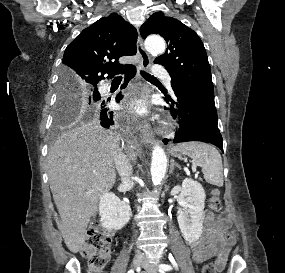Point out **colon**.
I'll return each instance as SVG.
<instances>
[{
	"instance_id": "colon-1",
	"label": "colon",
	"mask_w": 285,
	"mask_h": 273,
	"mask_svg": "<svg viewBox=\"0 0 285 273\" xmlns=\"http://www.w3.org/2000/svg\"><path fill=\"white\" fill-rule=\"evenodd\" d=\"M210 206L215 212L222 210L220 193L214 189L210 197ZM111 233L98 227H91L82 245L81 253L87 260L89 273H102L110 261ZM201 273H216L213 263L203 266Z\"/></svg>"
}]
</instances>
